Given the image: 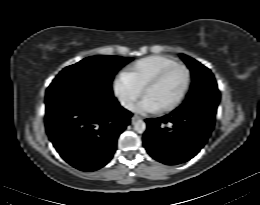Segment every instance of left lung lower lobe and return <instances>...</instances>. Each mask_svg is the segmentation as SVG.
<instances>
[{
	"label": "left lung lower lobe",
	"mask_w": 260,
	"mask_h": 205,
	"mask_svg": "<svg viewBox=\"0 0 260 205\" xmlns=\"http://www.w3.org/2000/svg\"><path fill=\"white\" fill-rule=\"evenodd\" d=\"M146 122L143 141L147 152L164 164L176 165L193 158L204 146L214 127L215 115L200 109L174 110Z\"/></svg>",
	"instance_id": "left-lung-lower-lobe-1"
}]
</instances>
